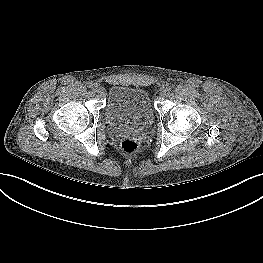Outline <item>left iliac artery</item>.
Segmentation results:
<instances>
[{
    "label": "left iliac artery",
    "instance_id": "left-iliac-artery-1",
    "mask_svg": "<svg viewBox=\"0 0 263 263\" xmlns=\"http://www.w3.org/2000/svg\"><path fill=\"white\" fill-rule=\"evenodd\" d=\"M166 90L169 92V91H171V87L170 86H167L166 87Z\"/></svg>",
    "mask_w": 263,
    "mask_h": 263
}]
</instances>
